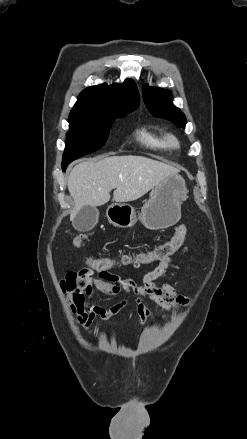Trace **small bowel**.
I'll return each instance as SVG.
<instances>
[{
	"instance_id": "obj_1",
	"label": "small bowel",
	"mask_w": 247,
	"mask_h": 439,
	"mask_svg": "<svg viewBox=\"0 0 247 439\" xmlns=\"http://www.w3.org/2000/svg\"><path fill=\"white\" fill-rule=\"evenodd\" d=\"M188 247L182 248V253H186ZM171 266V260L160 261L158 265L146 273L141 283H137L131 278L109 272H94L89 268H84L76 272H69L61 281V290L67 296L68 307L76 322L85 330H89L95 317L108 319L120 313L127 305L128 299H123L105 308L98 306L90 301L94 290H98L106 295L115 296L121 292L136 297V313L141 320L142 328L148 320L154 317L143 299L147 298L168 312L186 306L189 299L180 295L169 284H159L157 280L162 277Z\"/></svg>"
}]
</instances>
